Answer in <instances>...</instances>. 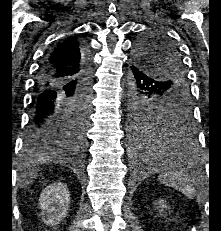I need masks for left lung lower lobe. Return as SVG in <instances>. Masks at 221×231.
Here are the masks:
<instances>
[{
	"label": "left lung lower lobe",
	"instance_id": "0a47b994",
	"mask_svg": "<svg viewBox=\"0 0 221 231\" xmlns=\"http://www.w3.org/2000/svg\"><path fill=\"white\" fill-rule=\"evenodd\" d=\"M130 69L133 96L131 117H135L140 112L145 97L158 93L164 87V84L150 76L137 64L130 66ZM168 128L179 129L183 133L176 134L170 131L165 135V132H159L149 138L148 136L140 137L131 130L133 146L138 153L147 155V158L153 163L162 162L156 154L158 150L165 149L171 154L166 163L182 168L186 167L189 164L190 158L196 154V140L192 130V121L189 117ZM175 131L179 132L178 130Z\"/></svg>",
	"mask_w": 221,
	"mask_h": 231
}]
</instances>
